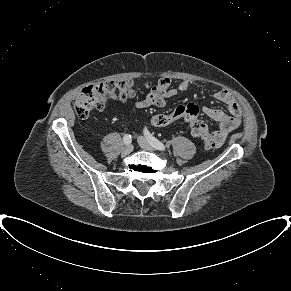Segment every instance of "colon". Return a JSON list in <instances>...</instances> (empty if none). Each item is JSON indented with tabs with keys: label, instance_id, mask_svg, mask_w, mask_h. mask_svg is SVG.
I'll list each match as a JSON object with an SVG mask.
<instances>
[{
	"label": "colon",
	"instance_id": "5ec220e1",
	"mask_svg": "<svg viewBox=\"0 0 291 291\" xmlns=\"http://www.w3.org/2000/svg\"><path fill=\"white\" fill-rule=\"evenodd\" d=\"M138 91L132 81H111L97 85H90L81 90L74 103V109L78 117L87 118L93 111L101 110L107 102L113 100H126L134 97ZM198 107L180 105L169 113H160L151 117V124L156 127L167 126L179 120L189 123L193 135L202 139L206 150H214L218 147V140L208 129L205 122L198 119Z\"/></svg>",
	"mask_w": 291,
	"mask_h": 291
}]
</instances>
